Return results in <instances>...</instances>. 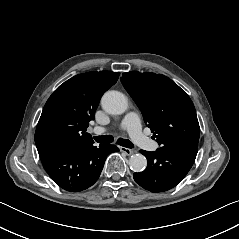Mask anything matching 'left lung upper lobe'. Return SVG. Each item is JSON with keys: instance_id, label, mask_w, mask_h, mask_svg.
<instances>
[{"instance_id": "1", "label": "left lung upper lobe", "mask_w": 239, "mask_h": 239, "mask_svg": "<svg viewBox=\"0 0 239 239\" xmlns=\"http://www.w3.org/2000/svg\"><path fill=\"white\" fill-rule=\"evenodd\" d=\"M121 82L141 110L160 148L197 147L200 128L190 97L171 79L155 73H123Z\"/></svg>"}]
</instances>
